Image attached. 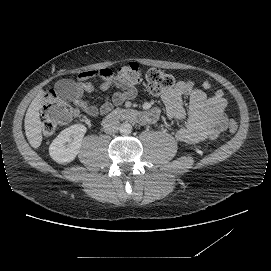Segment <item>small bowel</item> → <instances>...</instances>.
Masks as SVG:
<instances>
[{
    "mask_svg": "<svg viewBox=\"0 0 271 271\" xmlns=\"http://www.w3.org/2000/svg\"><path fill=\"white\" fill-rule=\"evenodd\" d=\"M78 82L73 102L91 117H99L109 113L114 106H119L134 99L137 90L134 85L123 81L110 69L88 70L78 75ZM100 78L102 82L94 85L91 79ZM102 91L108 94L100 108L84 101V93ZM184 98L188 100L185 109ZM168 119L175 122V137L187 143H194L204 139H216L227 125L224 98L208 97L193 81L180 80L176 85L162 94ZM158 109L146 112L144 119L155 122L159 119Z\"/></svg>",
    "mask_w": 271,
    "mask_h": 271,
    "instance_id": "obj_1",
    "label": "small bowel"
}]
</instances>
